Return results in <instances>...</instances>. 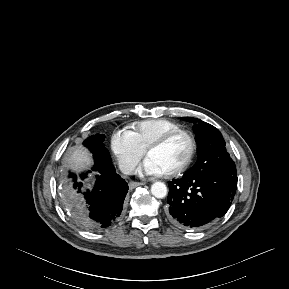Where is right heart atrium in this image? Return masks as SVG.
Returning <instances> with one entry per match:
<instances>
[{
  "instance_id": "right-heart-atrium-1",
  "label": "right heart atrium",
  "mask_w": 289,
  "mask_h": 289,
  "mask_svg": "<svg viewBox=\"0 0 289 289\" xmlns=\"http://www.w3.org/2000/svg\"><path fill=\"white\" fill-rule=\"evenodd\" d=\"M111 148L119 166L126 173L134 171L145 153L129 129L118 130L113 134Z\"/></svg>"
}]
</instances>
